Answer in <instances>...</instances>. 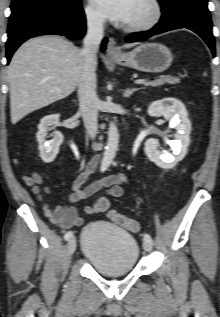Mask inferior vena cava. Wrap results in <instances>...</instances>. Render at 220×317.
<instances>
[{
    "mask_svg": "<svg viewBox=\"0 0 220 317\" xmlns=\"http://www.w3.org/2000/svg\"><path fill=\"white\" fill-rule=\"evenodd\" d=\"M103 17L87 16V33L81 55L83 66L78 81V99L85 128L91 139L98 133V97L96 94V53L103 39Z\"/></svg>",
    "mask_w": 220,
    "mask_h": 317,
    "instance_id": "inferior-vena-cava-1",
    "label": "inferior vena cava"
}]
</instances>
